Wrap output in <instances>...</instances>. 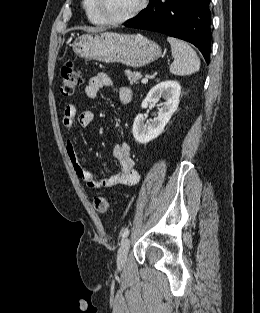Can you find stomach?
I'll return each instance as SVG.
<instances>
[{"mask_svg": "<svg viewBox=\"0 0 260 313\" xmlns=\"http://www.w3.org/2000/svg\"><path fill=\"white\" fill-rule=\"evenodd\" d=\"M74 53L85 59L140 68L161 56L160 46L140 34L87 33L75 39Z\"/></svg>", "mask_w": 260, "mask_h": 313, "instance_id": "obj_1", "label": "stomach"}]
</instances>
